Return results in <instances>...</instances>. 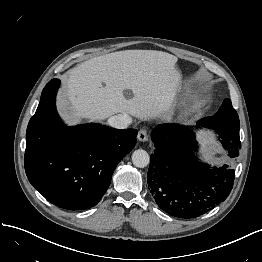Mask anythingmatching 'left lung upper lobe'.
Returning <instances> with one entry per match:
<instances>
[{"label":"left lung upper lobe","mask_w":262,"mask_h":262,"mask_svg":"<svg viewBox=\"0 0 262 262\" xmlns=\"http://www.w3.org/2000/svg\"><path fill=\"white\" fill-rule=\"evenodd\" d=\"M204 127L219 130L224 129L228 131H239V117L237 112L232 106L230 99H225L219 111L207 118L199 121Z\"/></svg>","instance_id":"left-lung-upper-lobe-1"}]
</instances>
